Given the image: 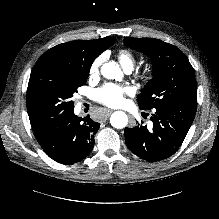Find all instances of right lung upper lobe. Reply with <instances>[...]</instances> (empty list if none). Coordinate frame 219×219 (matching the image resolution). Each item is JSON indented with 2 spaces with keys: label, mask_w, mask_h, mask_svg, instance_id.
I'll return each mask as SVG.
<instances>
[{
  "label": "right lung upper lobe",
  "mask_w": 219,
  "mask_h": 219,
  "mask_svg": "<svg viewBox=\"0 0 219 219\" xmlns=\"http://www.w3.org/2000/svg\"><path fill=\"white\" fill-rule=\"evenodd\" d=\"M115 42L116 39L109 36L97 40L71 41L49 49L39 59L56 58L69 66L90 70L95 58Z\"/></svg>",
  "instance_id": "cb5924a9"
}]
</instances>
